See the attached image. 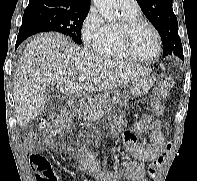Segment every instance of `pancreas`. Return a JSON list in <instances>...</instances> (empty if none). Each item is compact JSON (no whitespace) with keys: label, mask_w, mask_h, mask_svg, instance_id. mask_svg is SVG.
<instances>
[{"label":"pancreas","mask_w":197,"mask_h":181,"mask_svg":"<svg viewBox=\"0 0 197 181\" xmlns=\"http://www.w3.org/2000/svg\"><path fill=\"white\" fill-rule=\"evenodd\" d=\"M110 110H111L110 103H105L103 105H97V106L89 107L85 109L84 114H85L86 123L98 120Z\"/></svg>","instance_id":"1"}]
</instances>
